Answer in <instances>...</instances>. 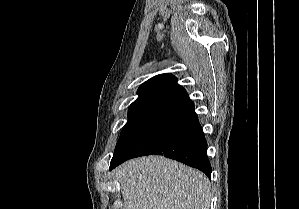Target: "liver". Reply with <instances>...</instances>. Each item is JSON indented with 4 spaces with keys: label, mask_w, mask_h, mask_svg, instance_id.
<instances>
[{
    "label": "liver",
    "mask_w": 299,
    "mask_h": 209,
    "mask_svg": "<svg viewBox=\"0 0 299 209\" xmlns=\"http://www.w3.org/2000/svg\"><path fill=\"white\" fill-rule=\"evenodd\" d=\"M124 209H209L211 187L200 171L163 156L127 161L115 172Z\"/></svg>",
    "instance_id": "liver-1"
}]
</instances>
